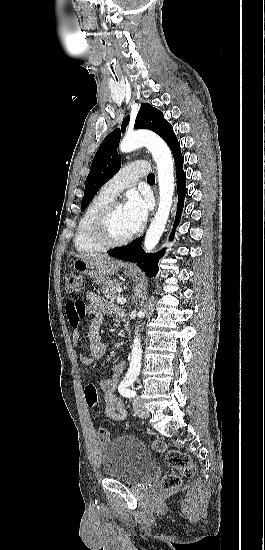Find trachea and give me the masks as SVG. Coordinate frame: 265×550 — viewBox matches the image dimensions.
<instances>
[{
    "label": "trachea",
    "instance_id": "1",
    "mask_svg": "<svg viewBox=\"0 0 265 550\" xmlns=\"http://www.w3.org/2000/svg\"><path fill=\"white\" fill-rule=\"evenodd\" d=\"M147 181L150 183V182H155V176L153 173H149L148 176H147Z\"/></svg>",
    "mask_w": 265,
    "mask_h": 550
}]
</instances>
